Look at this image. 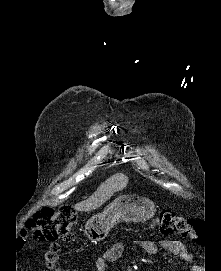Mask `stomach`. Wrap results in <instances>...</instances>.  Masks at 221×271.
Instances as JSON below:
<instances>
[{"instance_id": "1", "label": "stomach", "mask_w": 221, "mask_h": 271, "mask_svg": "<svg viewBox=\"0 0 221 271\" xmlns=\"http://www.w3.org/2000/svg\"><path fill=\"white\" fill-rule=\"evenodd\" d=\"M149 197H119L105 207L99 215H93L85 225V233L92 241H100L118 221H146L154 212Z\"/></svg>"}]
</instances>
